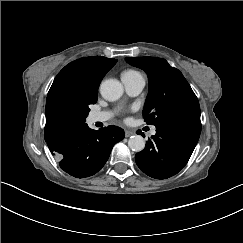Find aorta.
<instances>
[{
  "label": "aorta",
  "mask_w": 243,
  "mask_h": 243,
  "mask_svg": "<svg viewBox=\"0 0 243 243\" xmlns=\"http://www.w3.org/2000/svg\"><path fill=\"white\" fill-rule=\"evenodd\" d=\"M122 93L123 86L115 79L104 80L100 85V94L107 101L118 100ZM128 147L135 152L142 151L145 148V141L140 135H132L128 140Z\"/></svg>",
  "instance_id": "1"
}]
</instances>
